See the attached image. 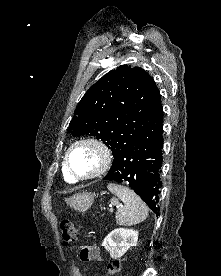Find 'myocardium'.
Returning a JSON list of instances; mask_svg holds the SVG:
<instances>
[{
    "mask_svg": "<svg viewBox=\"0 0 221 276\" xmlns=\"http://www.w3.org/2000/svg\"><path fill=\"white\" fill-rule=\"evenodd\" d=\"M79 146H91L94 149H96L100 155V163L98 168L94 172L87 175H82V176L75 174L70 165V155L72 151ZM111 163H112V153L110 148L103 141L92 137L81 138L73 142L68 147L64 158V166L68 175L73 180H76V181L92 180L102 176L109 169Z\"/></svg>",
    "mask_w": 221,
    "mask_h": 276,
    "instance_id": "myocardium-1",
    "label": "myocardium"
}]
</instances>
